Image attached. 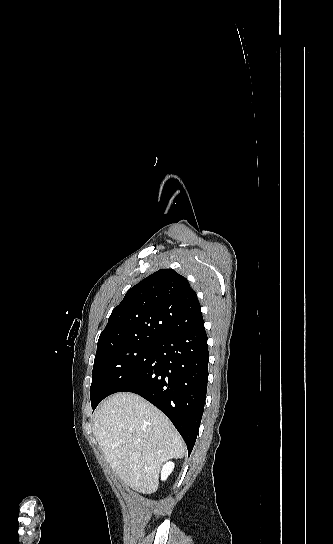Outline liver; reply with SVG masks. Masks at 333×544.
<instances>
[{
  "instance_id": "6515ba94",
  "label": "liver",
  "mask_w": 333,
  "mask_h": 544,
  "mask_svg": "<svg viewBox=\"0 0 333 544\" xmlns=\"http://www.w3.org/2000/svg\"><path fill=\"white\" fill-rule=\"evenodd\" d=\"M93 433L113 471L143 494L158 488L159 471L184 456V442L170 420L132 393L107 398L94 414Z\"/></svg>"
}]
</instances>
